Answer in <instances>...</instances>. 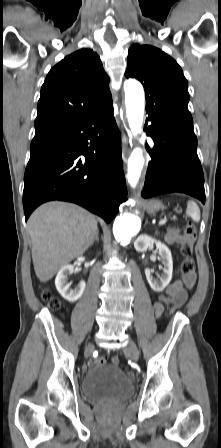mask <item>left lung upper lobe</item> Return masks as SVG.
Listing matches in <instances>:
<instances>
[{
  "label": "left lung upper lobe",
  "mask_w": 221,
  "mask_h": 448,
  "mask_svg": "<svg viewBox=\"0 0 221 448\" xmlns=\"http://www.w3.org/2000/svg\"><path fill=\"white\" fill-rule=\"evenodd\" d=\"M125 76L136 78L143 84L148 118L195 136L187 108L188 82L173 58L156 47L134 44L128 52Z\"/></svg>",
  "instance_id": "left-lung-upper-lobe-1"
}]
</instances>
